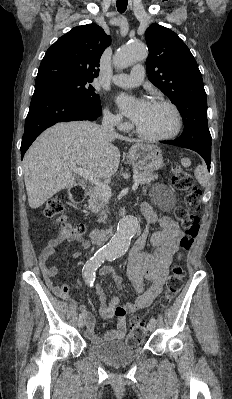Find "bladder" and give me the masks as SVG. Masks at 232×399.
Segmentation results:
<instances>
[{"label":"bladder","instance_id":"1","mask_svg":"<svg viewBox=\"0 0 232 399\" xmlns=\"http://www.w3.org/2000/svg\"><path fill=\"white\" fill-rule=\"evenodd\" d=\"M88 349L95 357L111 365L130 363L141 353V347H131L120 340L89 344Z\"/></svg>","mask_w":232,"mask_h":399}]
</instances>
